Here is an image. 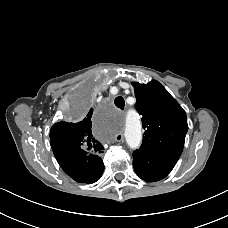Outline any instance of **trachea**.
<instances>
[{
  "label": "trachea",
  "instance_id": "1",
  "mask_svg": "<svg viewBox=\"0 0 228 228\" xmlns=\"http://www.w3.org/2000/svg\"><path fill=\"white\" fill-rule=\"evenodd\" d=\"M114 103L116 105V107L120 108V109H124L125 106V101L124 98L122 96H118L115 98Z\"/></svg>",
  "mask_w": 228,
  "mask_h": 228
}]
</instances>
